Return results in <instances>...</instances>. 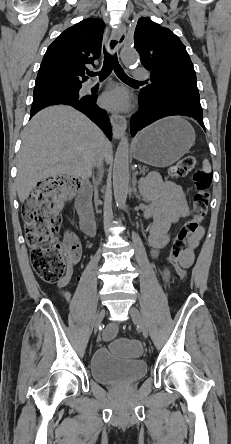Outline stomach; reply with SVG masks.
<instances>
[{"label": "stomach", "mask_w": 231, "mask_h": 444, "mask_svg": "<svg viewBox=\"0 0 231 444\" xmlns=\"http://www.w3.org/2000/svg\"><path fill=\"white\" fill-rule=\"evenodd\" d=\"M195 142L193 127L179 116L161 119L142 130L133 140L134 157L154 167L178 161Z\"/></svg>", "instance_id": "1"}]
</instances>
